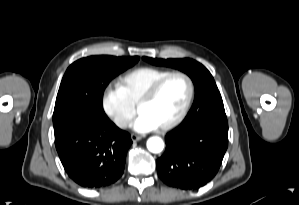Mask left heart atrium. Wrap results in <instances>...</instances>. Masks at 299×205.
Listing matches in <instances>:
<instances>
[{
    "label": "left heart atrium",
    "mask_w": 299,
    "mask_h": 205,
    "mask_svg": "<svg viewBox=\"0 0 299 205\" xmlns=\"http://www.w3.org/2000/svg\"><path fill=\"white\" fill-rule=\"evenodd\" d=\"M132 128L139 133H147L158 128V125L146 114L139 113L132 123Z\"/></svg>",
    "instance_id": "obj_1"
}]
</instances>
